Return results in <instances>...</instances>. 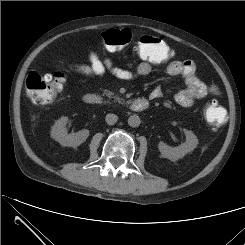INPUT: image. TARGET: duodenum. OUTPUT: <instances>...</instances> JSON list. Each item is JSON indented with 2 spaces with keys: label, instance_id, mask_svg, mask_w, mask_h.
<instances>
[{
  "label": "duodenum",
  "instance_id": "410a0bca",
  "mask_svg": "<svg viewBox=\"0 0 245 245\" xmlns=\"http://www.w3.org/2000/svg\"><path fill=\"white\" fill-rule=\"evenodd\" d=\"M83 100L87 105L96 106L100 104L101 97L96 93H88L84 95ZM148 106H149V101L147 99L138 98V99H134L130 103L129 108L134 112H141L146 110Z\"/></svg>",
  "mask_w": 245,
  "mask_h": 245
}]
</instances>
